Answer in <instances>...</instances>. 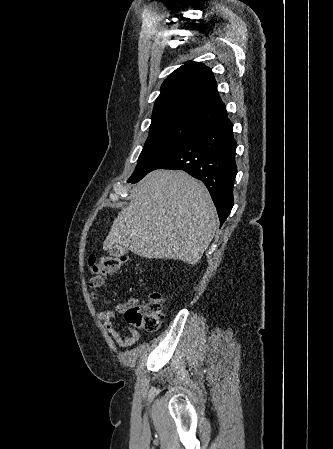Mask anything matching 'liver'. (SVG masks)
Segmentation results:
<instances>
[{"mask_svg": "<svg viewBox=\"0 0 333 449\" xmlns=\"http://www.w3.org/2000/svg\"><path fill=\"white\" fill-rule=\"evenodd\" d=\"M103 249L124 247L145 258L196 264L218 226L205 185L184 171L155 170L132 190Z\"/></svg>", "mask_w": 333, "mask_h": 449, "instance_id": "liver-1", "label": "liver"}]
</instances>
